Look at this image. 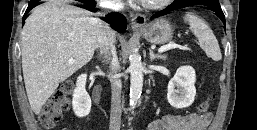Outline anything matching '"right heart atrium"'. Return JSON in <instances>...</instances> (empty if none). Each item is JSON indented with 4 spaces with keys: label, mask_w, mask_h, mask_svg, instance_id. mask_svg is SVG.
Listing matches in <instances>:
<instances>
[{
    "label": "right heart atrium",
    "mask_w": 257,
    "mask_h": 130,
    "mask_svg": "<svg viewBox=\"0 0 257 130\" xmlns=\"http://www.w3.org/2000/svg\"><path fill=\"white\" fill-rule=\"evenodd\" d=\"M107 2L111 5H118L121 3V0H107Z\"/></svg>",
    "instance_id": "obj_1"
}]
</instances>
